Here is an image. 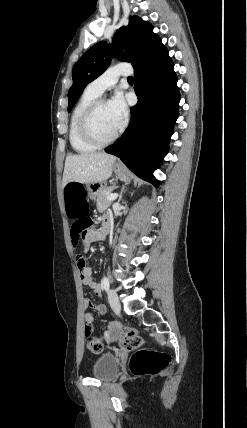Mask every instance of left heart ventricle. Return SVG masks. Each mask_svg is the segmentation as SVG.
<instances>
[{
  "label": "left heart ventricle",
  "instance_id": "1",
  "mask_svg": "<svg viewBox=\"0 0 247 428\" xmlns=\"http://www.w3.org/2000/svg\"><path fill=\"white\" fill-rule=\"evenodd\" d=\"M93 132L99 139L105 140L111 137L118 129L112 120L107 105H101L94 113L91 121Z\"/></svg>",
  "mask_w": 247,
  "mask_h": 428
}]
</instances>
